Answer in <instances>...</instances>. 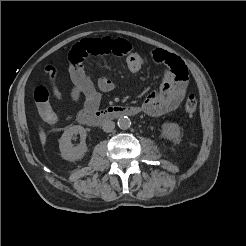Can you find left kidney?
Segmentation results:
<instances>
[{
  "label": "left kidney",
  "instance_id": "5707ae66",
  "mask_svg": "<svg viewBox=\"0 0 246 246\" xmlns=\"http://www.w3.org/2000/svg\"><path fill=\"white\" fill-rule=\"evenodd\" d=\"M162 135L170 141H179L181 139V131L179 125L173 122H166L162 124Z\"/></svg>",
  "mask_w": 246,
  "mask_h": 246
}]
</instances>
